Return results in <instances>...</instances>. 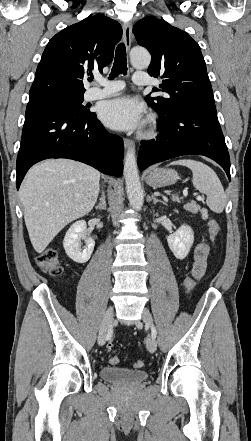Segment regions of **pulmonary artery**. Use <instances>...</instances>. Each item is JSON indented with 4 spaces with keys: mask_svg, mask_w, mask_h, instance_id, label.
<instances>
[{
    "mask_svg": "<svg viewBox=\"0 0 251 441\" xmlns=\"http://www.w3.org/2000/svg\"><path fill=\"white\" fill-rule=\"evenodd\" d=\"M133 82L137 85L150 84V78L145 72H135L133 75ZM124 87L121 81H109L104 78L96 79V86L87 90L85 98L87 100L101 99L112 96L122 90Z\"/></svg>",
    "mask_w": 251,
    "mask_h": 441,
    "instance_id": "e3ab8cb5",
    "label": "pulmonary artery"
}]
</instances>
